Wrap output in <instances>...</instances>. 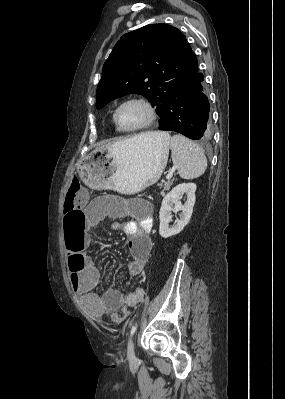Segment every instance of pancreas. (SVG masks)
<instances>
[{
  "mask_svg": "<svg viewBox=\"0 0 285 399\" xmlns=\"http://www.w3.org/2000/svg\"><path fill=\"white\" fill-rule=\"evenodd\" d=\"M174 180H168L166 182H164L163 184H161L160 186L163 188L161 194L164 195L166 191H168L170 189V187L172 186Z\"/></svg>",
  "mask_w": 285,
  "mask_h": 399,
  "instance_id": "cf45deb5",
  "label": "pancreas"
}]
</instances>
